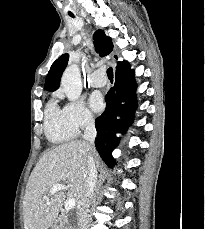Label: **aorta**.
<instances>
[{"mask_svg": "<svg viewBox=\"0 0 205 229\" xmlns=\"http://www.w3.org/2000/svg\"><path fill=\"white\" fill-rule=\"evenodd\" d=\"M61 85L70 101H77L82 93L80 69L77 65L68 66L61 78Z\"/></svg>", "mask_w": 205, "mask_h": 229, "instance_id": "obj_1", "label": "aorta"}]
</instances>
